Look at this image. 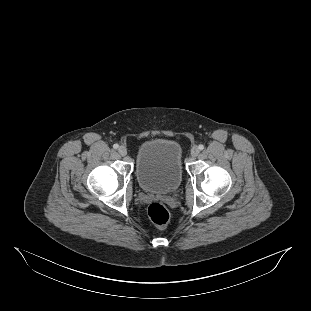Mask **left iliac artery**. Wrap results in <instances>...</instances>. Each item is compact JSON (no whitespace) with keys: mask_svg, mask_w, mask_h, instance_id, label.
I'll return each instance as SVG.
<instances>
[{"mask_svg":"<svg viewBox=\"0 0 311 311\" xmlns=\"http://www.w3.org/2000/svg\"><path fill=\"white\" fill-rule=\"evenodd\" d=\"M198 148H199V150H203V149H204V145L200 144V145L198 146Z\"/></svg>","mask_w":311,"mask_h":311,"instance_id":"1","label":"left iliac artery"}]
</instances>
